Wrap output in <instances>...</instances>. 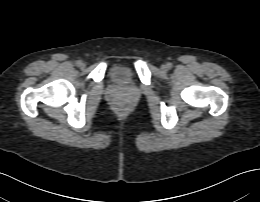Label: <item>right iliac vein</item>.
<instances>
[{
  "label": "right iliac vein",
  "mask_w": 260,
  "mask_h": 202,
  "mask_svg": "<svg viewBox=\"0 0 260 202\" xmlns=\"http://www.w3.org/2000/svg\"><path fill=\"white\" fill-rule=\"evenodd\" d=\"M80 67H81V68H85V63L82 62L81 65H80Z\"/></svg>",
  "instance_id": "obj_1"
}]
</instances>
